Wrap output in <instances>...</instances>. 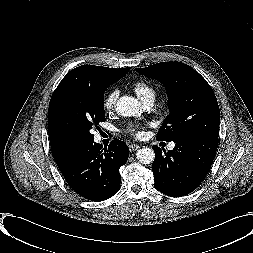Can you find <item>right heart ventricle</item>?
I'll return each mask as SVG.
<instances>
[{
	"label": "right heart ventricle",
	"mask_w": 253,
	"mask_h": 253,
	"mask_svg": "<svg viewBox=\"0 0 253 253\" xmlns=\"http://www.w3.org/2000/svg\"><path fill=\"white\" fill-rule=\"evenodd\" d=\"M133 90L136 93V95L139 97V99L143 102L154 99L156 97L155 90L145 82H138L133 86Z\"/></svg>",
	"instance_id": "e07e8e85"
}]
</instances>
